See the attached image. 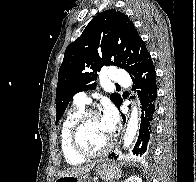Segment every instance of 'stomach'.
Listing matches in <instances>:
<instances>
[{
  "label": "stomach",
  "instance_id": "0dacf381",
  "mask_svg": "<svg viewBox=\"0 0 196 182\" xmlns=\"http://www.w3.org/2000/svg\"><path fill=\"white\" fill-rule=\"evenodd\" d=\"M96 174L104 181L109 182L121 177L120 169L114 164L106 161H100L96 166ZM55 182H91L87 175L85 176H62L56 179Z\"/></svg>",
  "mask_w": 196,
  "mask_h": 182
}]
</instances>
